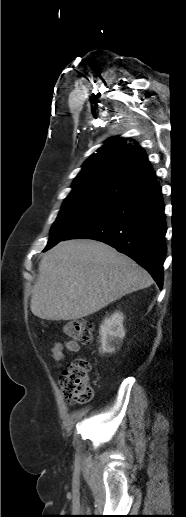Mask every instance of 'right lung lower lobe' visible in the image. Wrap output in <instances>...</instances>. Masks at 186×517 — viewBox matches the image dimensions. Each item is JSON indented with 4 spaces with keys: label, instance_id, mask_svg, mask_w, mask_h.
I'll use <instances>...</instances> for the list:
<instances>
[{
    "label": "right lung lower lobe",
    "instance_id": "1",
    "mask_svg": "<svg viewBox=\"0 0 186 517\" xmlns=\"http://www.w3.org/2000/svg\"><path fill=\"white\" fill-rule=\"evenodd\" d=\"M166 230L161 187L155 183L117 200L64 240L102 241L135 260L162 289Z\"/></svg>",
    "mask_w": 186,
    "mask_h": 517
}]
</instances>
